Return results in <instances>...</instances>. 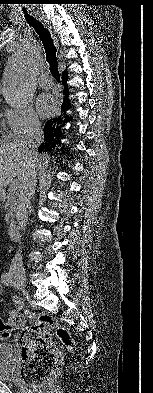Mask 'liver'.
Returning <instances> with one entry per match:
<instances>
[{"label": "liver", "mask_w": 153, "mask_h": 393, "mask_svg": "<svg viewBox=\"0 0 153 393\" xmlns=\"http://www.w3.org/2000/svg\"><path fill=\"white\" fill-rule=\"evenodd\" d=\"M37 152H31L25 140L0 144V193L16 177L23 183L39 167Z\"/></svg>", "instance_id": "liver-1"}]
</instances>
